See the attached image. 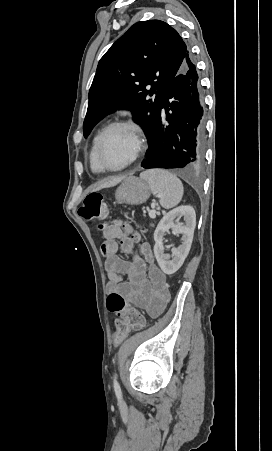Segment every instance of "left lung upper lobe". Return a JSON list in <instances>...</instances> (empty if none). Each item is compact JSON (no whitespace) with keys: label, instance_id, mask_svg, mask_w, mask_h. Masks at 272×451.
Returning <instances> with one entry per match:
<instances>
[{"label":"left lung upper lobe","instance_id":"1","mask_svg":"<svg viewBox=\"0 0 272 451\" xmlns=\"http://www.w3.org/2000/svg\"><path fill=\"white\" fill-rule=\"evenodd\" d=\"M187 47L175 29L160 20L137 22L98 63L89 90L84 137L116 108L131 110L152 139L162 100L180 71Z\"/></svg>","mask_w":272,"mask_h":451}]
</instances>
